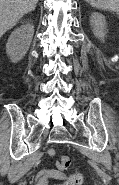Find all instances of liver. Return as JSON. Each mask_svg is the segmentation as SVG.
<instances>
[{
    "label": "liver",
    "instance_id": "liver-1",
    "mask_svg": "<svg viewBox=\"0 0 119 185\" xmlns=\"http://www.w3.org/2000/svg\"><path fill=\"white\" fill-rule=\"evenodd\" d=\"M38 0H0V38L13 28L19 19L33 11Z\"/></svg>",
    "mask_w": 119,
    "mask_h": 185
}]
</instances>
